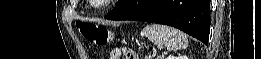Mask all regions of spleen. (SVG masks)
<instances>
[{
	"mask_svg": "<svg viewBox=\"0 0 261 59\" xmlns=\"http://www.w3.org/2000/svg\"><path fill=\"white\" fill-rule=\"evenodd\" d=\"M141 35L155 45L167 47L169 51L185 49L188 46V39L184 33L165 25H147L141 31Z\"/></svg>",
	"mask_w": 261,
	"mask_h": 59,
	"instance_id": "1",
	"label": "spleen"
}]
</instances>
